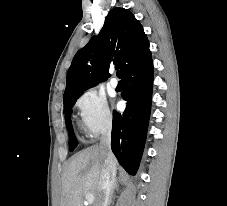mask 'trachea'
Wrapping results in <instances>:
<instances>
[{"instance_id": "1", "label": "trachea", "mask_w": 227, "mask_h": 206, "mask_svg": "<svg viewBox=\"0 0 227 206\" xmlns=\"http://www.w3.org/2000/svg\"><path fill=\"white\" fill-rule=\"evenodd\" d=\"M115 68H116V70H118L120 67L119 66H116Z\"/></svg>"}]
</instances>
